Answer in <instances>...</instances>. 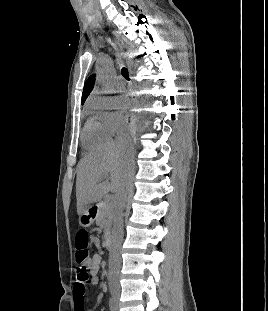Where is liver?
Segmentation results:
<instances>
[{
  "mask_svg": "<svg viewBox=\"0 0 268 311\" xmlns=\"http://www.w3.org/2000/svg\"><path fill=\"white\" fill-rule=\"evenodd\" d=\"M127 148L112 143L103 150L85 156L78 164L76 179L77 213L99 202L109 191L118 193L127 177ZM108 180L103 181L106 178Z\"/></svg>",
  "mask_w": 268,
  "mask_h": 311,
  "instance_id": "1",
  "label": "liver"
}]
</instances>
